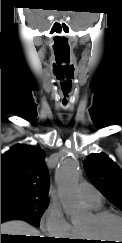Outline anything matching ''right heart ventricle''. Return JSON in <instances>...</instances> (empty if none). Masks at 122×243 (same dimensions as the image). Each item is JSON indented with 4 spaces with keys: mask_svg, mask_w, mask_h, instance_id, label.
Listing matches in <instances>:
<instances>
[{
    "mask_svg": "<svg viewBox=\"0 0 122 243\" xmlns=\"http://www.w3.org/2000/svg\"><path fill=\"white\" fill-rule=\"evenodd\" d=\"M91 207V206H90ZM94 211H99L101 210V205L91 207ZM77 237H81L79 230H77Z\"/></svg>",
    "mask_w": 122,
    "mask_h": 243,
    "instance_id": "e07e8e85",
    "label": "right heart ventricle"
}]
</instances>
